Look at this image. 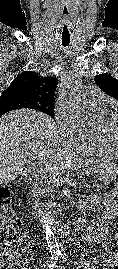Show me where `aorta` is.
Wrapping results in <instances>:
<instances>
[{
    "mask_svg": "<svg viewBox=\"0 0 118 269\" xmlns=\"http://www.w3.org/2000/svg\"><path fill=\"white\" fill-rule=\"evenodd\" d=\"M81 94L82 82L80 77L76 73H69L64 76L59 89L61 105L80 127L90 130L95 123L90 113L82 105ZM44 233L50 251L59 252L58 241L48 220H45Z\"/></svg>",
    "mask_w": 118,
    "mask_h": 269,
    "instance_id": "1",
    "label": "aorta"
}]
</instances>
